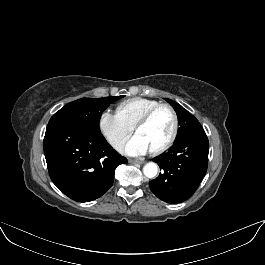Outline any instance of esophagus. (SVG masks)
I'll list each match as a JSON object with an SVG mask.
<instances>
[{
	"mask_svg": "<svg viewBox=\"0 0 265 265\" xmlns=\"http://www.w3.org/2000/svg\"><path fill=\"white\" fill-rule=\"evenodd\" d=\"M129 163H131V164H143L144 161H141L138 159H129Z\"/></svg>",
	"mask_w": 265,
	"mask_h": 265,
	"instance_id": "esophagus-1",
	"label": "esophagus"
}]
</instances>
